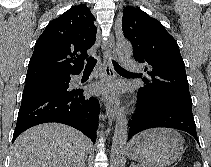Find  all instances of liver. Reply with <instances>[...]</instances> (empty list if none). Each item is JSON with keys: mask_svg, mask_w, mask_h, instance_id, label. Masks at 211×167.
<instances>
[{"mask_svg": "<svg viewBox=\"0 0 211 167\" xmlns=\"http://www.w3.org/2000/svg\"><path fill=\"white\" fill-rule=\"evenodd\" d=\"M89 140L76 129L45 123L23 132L14 142L10 167H84Z\"/></svg>", "mask_w": 211, "mask_h": 167, "instance_id": "6515ba94", "label": "liver"}]
</instances>
